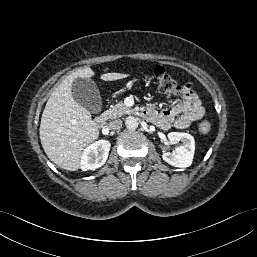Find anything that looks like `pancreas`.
Returning a JSON list of instances; mask_svg holds the SVG:
<instances>
[{
    "label": "pancreas",
    "instance_id": "1",
    "mask_svg": "<svg viewBox=\"0 0 257 257\" xmlns=\"http://www.w3.org/2000/svg\"><path fill=\"white\" fill-rule=\"evenodd\" d=\"M108 112V116L111 119H117L125 114H133L134 111L126 107L122 102L116 105H111Z\"/></svg>",
    "mask_w": 257,
    "mask_h": 257
}]
</instances>
